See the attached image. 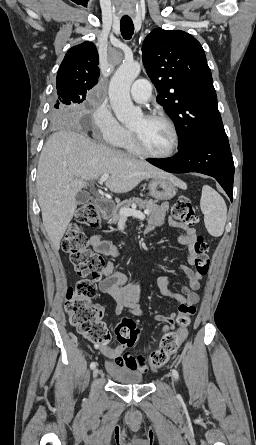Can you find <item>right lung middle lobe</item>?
Segmentation results:
<instances>
[{"instance_id":"obj_1","label":"right lung middle lobe","mask_w":256,"mask_h":445,"mask_svg":"<svg viewBox=\"0 0 256 445\" xmlns=\"http://www.w3.org/2000/svg\"><path fill=\"white\" fill-rule=\"evenodd\" d=\"M58 100L54 105V110L51 113V119L55 123H65L70 120V105L73 103H80L84 98L76 96L71 91L57 92Z\"/></svg>"}]
</instances>
